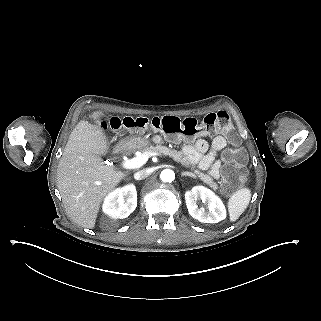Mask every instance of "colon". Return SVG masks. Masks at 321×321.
Wrapping results in <instances>:
<instances>
[{"mask_svg":"<svg viewBox=\"0 0 321 321\" xmlns=\"http://www.w3.org/2000/svg\"><path fill=\"white\" fill-rule=\"evenodd\" d=\"M106 130L118 131H145L159 130L170 136L184 135L187 137H197L201 135L223 134L229 146L223 151L222 158L225 166L222 172L223 187L227 194H232L246 180V170L244 167L246 153L240 146L238 135L234 132L232 121L225 111L210 113L201 122L194 118L180 119L176 116L162 117H125L111 118L102 123Z\"/></svg>","mask_w":321,"mask_h":321,"instance_id":"5ec220e1","label":"colon"}]
</instances>
